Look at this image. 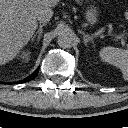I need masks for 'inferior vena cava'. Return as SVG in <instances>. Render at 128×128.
Listing matches in <instances>:
<instances>
[{
	"mask_svg": "<svg viewBox=\"0 0 128 128\" xmlns=\"http://www.w3.org/2000/svg\"><path fill=\"white\" fill-rule=\"evenodd\" d=\"M52 15L51 11H42L37 15V20L44 24L50 21Z\"/></svg>",
	"mask_w": 128,
	"mask_h": 128,
	"instance_id": "obj_1",
	"label": "inferior vena cava"
}]
</instances>
